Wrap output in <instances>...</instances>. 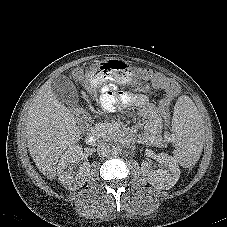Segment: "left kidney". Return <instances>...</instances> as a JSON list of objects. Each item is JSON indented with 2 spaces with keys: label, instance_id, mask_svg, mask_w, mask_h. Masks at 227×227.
Instances as JSON below:
<instances>
[{
  "label": "left kidney",
  "instance_id": "1",
  "mask_svg": "<svg viewBox=\"0 0 227 227\" xmlns=\"http://www.w3.org/2000/svg\"><path fill=\"white\" fill-rule=\"evenodd\" d=\"M157 157V161L163 168L151 169L147 163H144L142 167L143 176L157 189L168 190L177 183L180 177V169L172 156L160 153Z\"/></svg>",
  "mask_w": 227,
  "mask_h": 227
}]
</instances>
